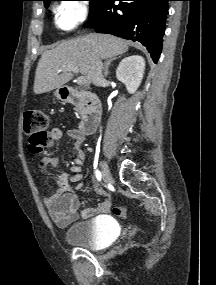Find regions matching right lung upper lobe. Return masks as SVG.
Listing matches in <instances>:
<instances>
[{
    "label": "right lung upper lobe",
    "instance_id": "cb5924a9",
    "mask_svg": "<svg viewBox=\"0 0 216 285\" xmlns=\"http://www.w3.org/2000/svg\"><path fill=\"white\" fill-rule=\"evenodd\" d=\"M42 1H44V3H46V2H48L49 0H42Z\"/></svg>",
    "mask_w": 216,
    "mask_h": 285
}]
</instances>
